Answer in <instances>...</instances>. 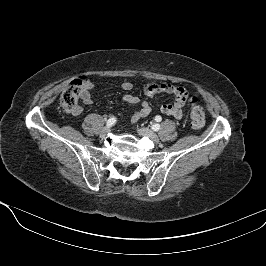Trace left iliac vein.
I'll return each instance as SVG.
<instances>
[{"label": "left iliac vein", "instance_id": "4c4485c4", "mask_svg": "<svg viewBox=\"0 0 266 266\" xmlns=\"http://www.w3.org/2000/svg\"><path fill=\"white\" fill-rule=\"evenodd\" d=\"M138 133L141 136H144V137L151 139L154 143L159 142L158 136L152 130H150L148 128H140V129H138Z\"/></svg>", "mask_w": 266, "mask_h": 266}]
</instances>
